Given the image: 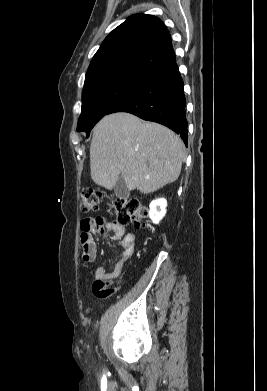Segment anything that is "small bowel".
Segmentation results:
<instances>
[{
  "label": "small bowel",
  "mask_w": 267,
  "mask_h": 391,
  "mask_svg": "<svg viewBox=\"0 0 267 391\" xmlns=\"http://www.w3.org/2000/svg\"><path fill=\"white\" fill-rule=\"evenodd\" d=\"M80 241L82 245V258L91 262L96 257V243L94 235L97 233L109 232L112 241H119L121 244V254L114 269L110 272L99 267L95 271L93 283V293L98 297H106L113 293L116 288L111 287L112 283L119 280L123 274L126 262L134 252L136 236L133 232H126L123 226L115 221L104 219L101 216L88 217L81 221Z\"/></svg>",
  "instance_id": "1"
}]
</instances>
